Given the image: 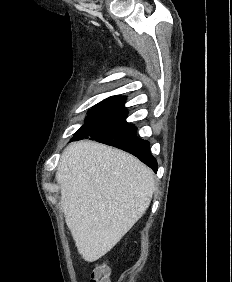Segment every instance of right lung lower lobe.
Instances as JSON below:
<instances>
[{"label":"right lung lower lobe","instance_id":"1","mask_svg":"<svg viewBox=\"0 0 232 282\" xmlns=\"http://www.w3.org/2000/svg\"><path fill=\"white\" fill-rule=\"evenodd\" d=\"M137 128L130 125L120 130H113L89 137L113 147L122 149L136 156L139 160L157 172V162L149 150V142L136 136Z\"/></svg>","mask_w":232,"mask_h":282}]
</instances>
